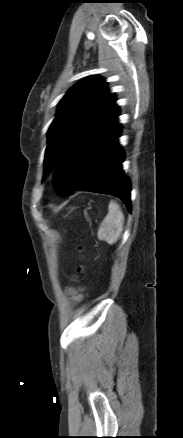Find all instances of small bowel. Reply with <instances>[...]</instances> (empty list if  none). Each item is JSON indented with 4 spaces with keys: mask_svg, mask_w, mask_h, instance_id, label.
Returning a JSON list of instances; mask_svg holds the SVG:
<instances>
[{
    "mask_svg": "<svg viewBox=\"0 0 183 438\" xmlns=\"http://www.w3.org/2000/svg\"><path fill=\"white\" fill-rule=\"evenodd\" d=\"M67 294L74 303H79L84 298V294L80 288L69 287L67 289Z\"/></svg>",
    "mask_w": 183,
    "mask_h": 438,
    "instance_id": "1",
    "label": "small bowel"
}]
</instances>
